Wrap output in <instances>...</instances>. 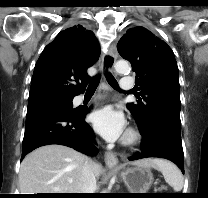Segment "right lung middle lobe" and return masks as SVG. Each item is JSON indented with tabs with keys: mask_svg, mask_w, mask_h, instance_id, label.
Instances as JSON below:
<instances>
[{
	"mask_svg": "<svg viewBox=\"0 0 208 198\" xmlns=\"http://www.w3.org/2000/svg\"><path fill=\"white\" fill-rule=\"evenodd\" d=\"M66 108L70 110H78L79 108H73L72 105V99H64V100H56V101H50V102H45L33 107H28V111L38 109V108Z\"/></svg>",
	"mask_w": 208,
	"mask_h": 198,
	"instance_id": "obj_1",
	"label": "right lung middle lobe"
}]
</instances>
